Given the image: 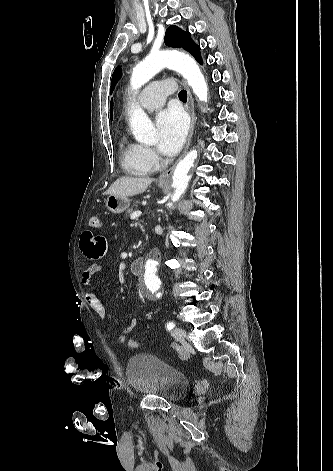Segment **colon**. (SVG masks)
I'll return each instance as SVG.
<instances>
[{
	"instance_id": "colon-1",
	"label": "colon",
	"mask_w": 333,
	"mask_h": 471,
	"mask_svg": "<svg viewBox=\"0 0 333 471\" xmlns=\"http://www.w3.org/2000/svg\"><path fill=\"white\" fill-rule=\"evenodd\" d=\"M99 224H100L99 216L93 215V216L90 217V219H89L90 227L97 228V227H99ZM126 345L129 349H137L139 347L138 341H136L134 339L128 340Z\"/></svg>"
}]
</instances>
